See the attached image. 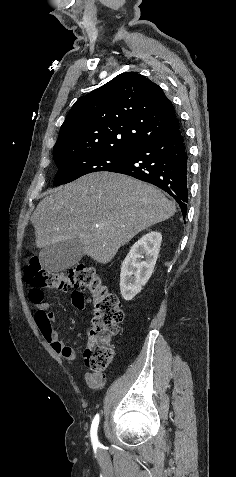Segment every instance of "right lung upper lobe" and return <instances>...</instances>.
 <instances>
[{"label":"right lung upper lobe","mask_w":236,"mask_h":477,"mask_svg":"<svg viewBox=\"0 0 236 477\" xmlns=\"http://www.w3.org/2000/svg\"><path fill=\"white\" fill-rule=\"evenodd\" d=\"M162 89L135 72H126L80 98L61 126L53 156L86 152L128 155L178 125Z\"/></svg>","instance_id":"obj_1"}]
</instances>
